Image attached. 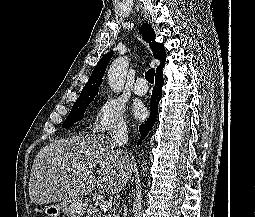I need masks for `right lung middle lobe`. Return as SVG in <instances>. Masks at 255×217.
<instances>
[{
    "instance_id": "dd1d6c3e",
    "label": "right lung middle lobe",
    "mask_w": 255,
    "mask_h": 217,
    "mask_svg": "<svg viewBox=\"0 0 255 217\" xmlns=\"http://www.w3.org/2000/svg\"><path fill=\"white\" fill-rule=\"evenodd\" d=\"M97 92L81 94L77 101L74 103L69 115L63 123V128L72 126L74 123L81 120L89 104L95 98Z\"/></svg>"
}]
</instances>
